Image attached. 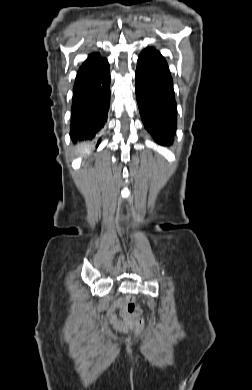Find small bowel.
Wrapping results in <instances>:
<instances>
[{
    "mask_svg": "<svg viewBox=\"0 0 252 390\" xmlns=\"http://www.w3.org/2000/svg\"><path fill=\"white\" fill-rule=\"evenodd\" d=\"M109 320L116 330L125 331L132 326L127 314L124 311L123 299H117L109 310Z\"/></svg>",
    "mask_w": 252,
    "mask_h": 390,
    "instance_id": "small-bowel-1",
    "label": "small bowel"
}]
</instances>
